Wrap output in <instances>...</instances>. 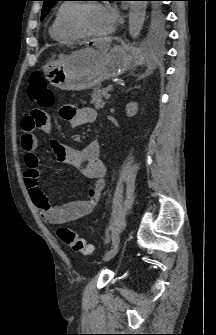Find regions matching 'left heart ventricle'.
<instances>
[{"mask_svg": "<svg viewBox=\"0 0 216 335\" xmlns=\"http://www.w3.org/2000/svg\"><path fill=\"white\" fill-rule=\"evenodd\" d=\"M84 25L89 31L104 33L110 29L104 9L101 5L93 4L89 6L83 16Z\"/></svg>", "mask_w": 216, "mask_h": 335, "instance_id": "b2bd125f", "label": "left heart ventricle"}]
</instances>
